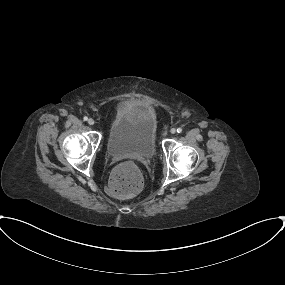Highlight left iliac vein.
Wrapping results in <instances>:
<instances>
[{
	"mask_svg": "<svg viewBox=\"0 0 285 285\" xmlns=\"http://www.w3.org/2000/svg\"><path fill=\"white\" fill-rule=\"evenodd\" d=\"M170 133H171V134H175V133H176V129H175V128H171V129H170Z\"/></svg>",
	"mask_w": 285,
	"mask_h": 285,
	"instance_id": "4c4485c4",
	"label": "left iliac vein"
}]
</instances>
